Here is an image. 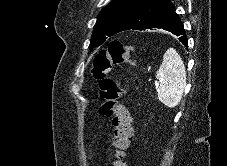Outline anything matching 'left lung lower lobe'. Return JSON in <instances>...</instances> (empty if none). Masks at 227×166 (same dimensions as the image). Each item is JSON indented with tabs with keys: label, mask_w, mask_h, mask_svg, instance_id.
Instances as JSON below:
<instances>
[{
	"label": "left lung lower lobe",
	"mask_w": 227,
	"mask_h": 166,
	"mask_svg": "<svg viewBox=\"0 0 227 166\" xmlns=\"http://www.w3.org/2000/svg\"><path fill=\"white\" fill-rule=\"evenodd\" d=\"M152 28L164 29L179 36L182 44L188 47L183 24L170 0H147L129 30Z\"/></svg>",
	"instance_id": "obj_1"
}]
</instances>
